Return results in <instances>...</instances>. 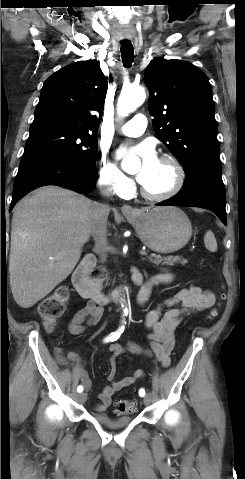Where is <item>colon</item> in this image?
Segmentation results:
<instances>
[{
	"label": "colon",
	"mask_w": 245,
	"mask_h": 479,
	"mask_svg": "<svg viewBox=\"0 0 245 479\" xmlns=\"http://www.w3.org/2000/svg\"><path fill=\"white\" fill-rule=\"evenodd\" d=\"M69 302V289L66 286L57 288L46 296L39 306V314L47 331H53L58 319L64 314ZM218 315V309L214 308L209 312V318L214 319ZM115 409L120 414L132 413L136 410V402L132 400L119 399L115 402Z\"/></svg>",
	"instance_id": "colon-1"
}]
</instances>
